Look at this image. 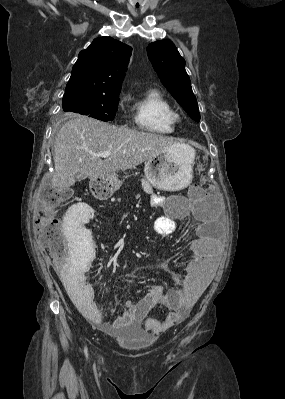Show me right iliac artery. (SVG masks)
I'll return each instance as SVG.
<instances>
[{
  "label": "right iliac artery",
  "instance_id": "1",
  "mask_svg": "<svg viewBox=\"0 0 285 399\" xmlns=\"http://www.w3.org/2000/svg\"><path fill=\"white\" fill-rule=\"evenodd\" d=\"M84 353H85V356L87 357V356H88V353H87V347H85V349H84Z\"/></svg>",
  "mask_w": 285,
  "mask_h": 399
}]
</instances>
